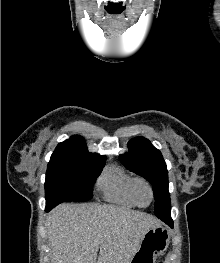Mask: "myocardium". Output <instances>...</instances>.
<instances>
[{"label": "myocardium", "instance_id": "myocardium-1", "mask_svg": "<svg viewBox=\"0 0 220 263\" xmlns=\"http://www.w3.org/2000/svg\"><path fill=\"white\" fill-rule=\"evenodd\" d=\"M141 187L145 188L149 193L150 199L147 204H142L139 201L138 193ZM153 198H154V192L151 184L144 178H136L133 184V199L137 204V206L146 207L153 201Z\"/></svg>", "mask_w": 220, "mask_h": 263}]
</instances>
